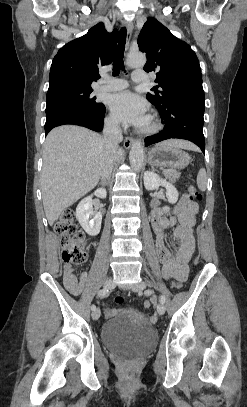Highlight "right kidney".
<instances>
[{"mask_svg":"<svg viewBox=\"0 0 247 407\" xmlns=\"http://www.w3.org/2000/svg\"><path fill=\"white\" fill-rule=\"evenodd\" d=\"M94 195L104 199L107 194L105 189H97ZM92 197L93 195H90L79 202L76 208V218L87 234L96 236L101 229L102 214L93 210ZM90 217L93 218L90 219Z\"/></svg>","mask_w":247,"mask_h":407,"instance_id":"ca27d5eb","label":"right kidney"}]
</instances>
